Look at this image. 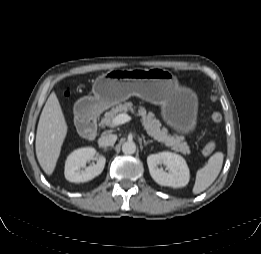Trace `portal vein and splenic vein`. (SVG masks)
<instances>
[{
	"instance_id": "1",
	"label": "portal vein and splenic vein",
	"mask_w": 261,
	"mask_h": 254,
	"mask_svg": "<svg viewBox=\"0 0 261 254\" xmlns=\"http://www.w3.org/2000/svg\"><path fill=\"white\" fill-rule=\"evenodd\" d=\"M131 120V117L126 114V113H121V114H118L113 120H112V123L113 125L115 126H118V125H121V124H124L128 121Z\"/></svg>"
}]
</instances>
